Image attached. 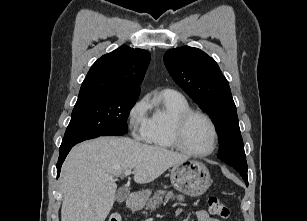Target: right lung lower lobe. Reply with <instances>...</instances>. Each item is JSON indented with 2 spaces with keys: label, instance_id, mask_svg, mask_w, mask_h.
<instances>
[{
  "label": "right lung lower lobe",
  "instance_id": "1",
  "mask_svg": "<svg viewBox=\"0 0 307 221\" xmlns=\"http://www.w3.org/2000/svg\"><path fill=\"white\" fill-rule=\"evenodd\" d=\"M71 148L66 149V150L59 153L60 155H59L58 162H57V177H59V175H60V168L62 166V163L64 162V160H65L67 154L69 153V151L71 150Z\"/></svg>",
  "mask_w": 307,
  "mask_h": 221
}]
</instances>
